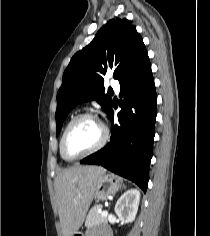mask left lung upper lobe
I'll return each instance as SVG.
<instances>
[{"instance_id": "obj_1", "label": "left lung upper lobe", "mask_w": 210, "mask_h": 236, "mask_svg": "<svg viewBox=\"0 0 210 236\" xmlns=\"http://www.w3.org/2000/svg\"><path fill=\"white\" fill-rule=\"evenodd\" d=\"M149 60L142 37L127 19H111L92 42L77 52L63 74L57 93L56 135L68 113L80 102L96 100L108 114L112 99L105 94L108 70L120 84L134 75Z\"/></svg>"}]
</instances>
